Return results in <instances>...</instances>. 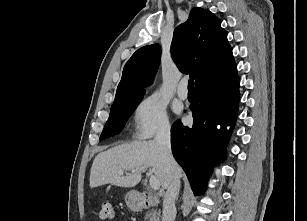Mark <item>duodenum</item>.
I'll list each match as a JSON object with an SVG mask.
<instances>
[{
	"instance_id": "obj_1",
	"label": "duodenum",
	"mask_w": 307,
	"mask_h": 221,
	"mask_svg": "<svg viewBox=\"0 0 307 221\" xmlns=\"http://www.w3.org/2000/svg\"><path fill=\"white\" fill-rule=\"evenodd\" d=\"M158 203V199L143 193L137 194L133 197V205L136 210L148 209L156 206Z\"/></svg>"
}]
</instances>
